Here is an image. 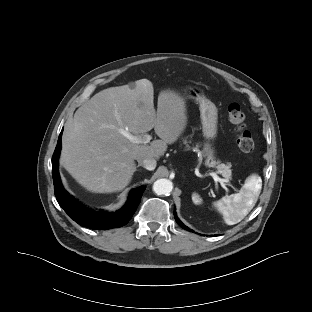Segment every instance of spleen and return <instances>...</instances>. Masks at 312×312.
<instances>
[{
	"label": "spleen",
	"instance_id": "3e777b00",
	"mask_svg": "<svg viewBox=\"0 0 312 312\" xmlns=\"http://www.w3.org/2000/svg\"><path fill=\"white\" fill-rule=\"evenodd\" d=\"M260 190L261 178L253 176L249 180L247 188L220 201L218 207L223 214L225 223L234 225L240 222L253 209ZM192 200L195 204L201 203V198L197 194H193Z\"/></svg>",
	"mask_w": 312,
	"mask_h": 312
}]
</instances>
